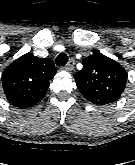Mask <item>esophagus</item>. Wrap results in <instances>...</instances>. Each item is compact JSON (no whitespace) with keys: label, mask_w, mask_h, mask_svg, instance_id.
<instances>
[{"label":"esophagus","mask_w":135,"mask_h":165,"mask_svg":"<svg viewBox=\"0 0 135 165\" xmlns=\"http://www.w3.org/2000/svg\"><path fill=\"white\" fill-rule=\"evenodd\" d=\"M75 61L74 59H70L66 66L64 67L65 70L67 71H72L74 69Z\"/></svg>","instance_id":"34e87169"}]
</instances>
